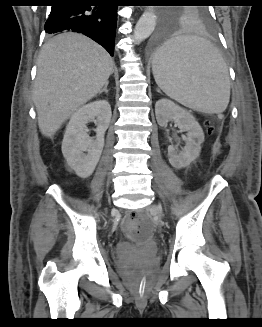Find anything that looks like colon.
<instances>
[{
	"mask_svg": "<svg viewBox=\"0 0 262 327\" xmlns=\"http://www.w3.org/2000/svg\"><path fill=\"white\" fill-rule=\"evenodd\" d=\"M206 126L210 132L215 128L213 121H208ZM125 228L128 234L136 241H147L154 232V226L150 218L141 213L130 214L125 221Z\"/></svg>",
	"mask_w": 262,
	"mask_h": 327,
	"instance_id": "obj_1",
	"label": "colon"
}]
</instances>
